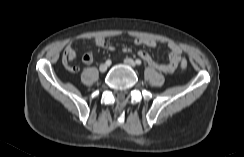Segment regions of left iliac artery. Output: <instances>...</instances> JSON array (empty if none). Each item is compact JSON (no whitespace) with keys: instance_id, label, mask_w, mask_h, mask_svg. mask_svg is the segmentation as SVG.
Here are the masks:
<instances>
[{"instance_id":"44dca946","label":"left iliac artery","mask_w":244,"mask_h":157,"mask_svg":"<svg viewBox=\"0 0 244 157\" xmlns=\"http://www.w3.org/2000/svg\"><path fill=\"white\" fill-rule=\"evenodd\" d=\"M136 64L137 65H141L142 64L141 60L140 59H136Z\"/></svg>"}]
</instances>
